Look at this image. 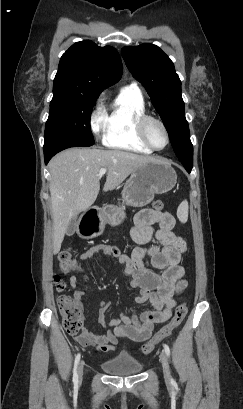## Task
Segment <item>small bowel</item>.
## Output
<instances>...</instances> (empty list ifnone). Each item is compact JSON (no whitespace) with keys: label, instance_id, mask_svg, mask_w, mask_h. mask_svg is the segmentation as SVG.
Returning a JSON list of instances; mask_svg holds the SVG:
<instances>
[{"label":"small bowel","instance_id":"obj_1","mask_svg":"<svg viewBox=\"0 0 243 409\" xmlns=\"http://www.w3.org/2000/svg\"><path fill=\"white\" fill-rule=\"evenodd\" d=\"M175 219L170 212L144 209L137 213L134 226L131 229L132 240L140 245L133 249L130 255L122 254L116 246L97 244L88 248L80 255L82 261L92 259L97 254H106L125 265V274L130 278V286L139 289L140 294L134 299L135 304L148 303L150 309L138 315L129 316L121 312L118 317L107 320L103 315L99 317L100 325L105 333L98 335L84 328L76 336V342L82 347L94 344L98 351L115 352L120 338H127L136 342L148 340L154 325L166 322L170 318L171 310L175 307V296L182 293L188 282L185 279L184 268L180 265L181 256L187 245L183 238L174 233ZM154 225H158L155 229ZM153 239L156 244L147 245ZM150 258L154 269L161 274L147 268L144 258ZM70 286L74 288L73 297L82 304L83 291L77 289L75 276L70 277ZM110 300L103 301L101 308L110 304Z\"/></svg>","mask_w":243,"mask_h":409}]
</instances>
